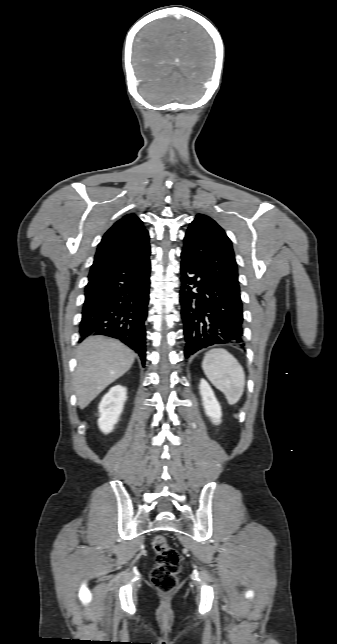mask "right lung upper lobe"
I'll use <instances>...</instances> for the list:
<instances>
[{
  "label": "right lung upper lobe",
  "mask_w": 337,
  "mask_h": 644,
  "mask_svg": "<svg viewBox=\"0 0 337 644\" xmlns=\"http://www.w3.org/2000/svg\"><path fill=\"white\" fill-rule=\"evenodd\" d=\"M149 255L148 231L135 214L126 215L103 236L88 278L91 280L124 264L139 263Z\"/></svg>",
  "instance_id": "obj_1"
}]
</instances>
